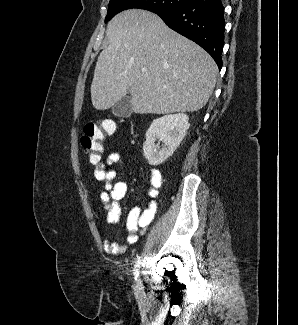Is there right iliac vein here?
<instances>
[{"label": "right iliac vein", "instance_id": "obj_1", "mask_svg": "<svg viewBox=\"0 0 298 325\" xmlns=\"http://www.w3.org/2000/svg\"><path fill=\"white\" fill-rule=\"evenodd\" d=\"M134 289H135L136 294H141L142 293L143 285H142V281H141L140 278L137 279V281L135 283V286H134Z\"/></svg>", "mask_w": 298, "mask_h": 325}]
</instances>
